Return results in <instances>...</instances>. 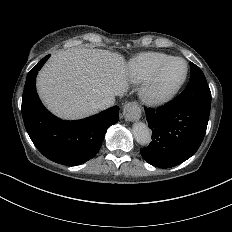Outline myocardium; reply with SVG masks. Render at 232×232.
Returning a JSON list of instances; mask_svg holds the SVG:
<instances>
[{
    "instance_id": "myocardium-1",
    "label": "myocardium",
    "mask_w": 232,
    "mask_h": 232,
    "mask_svg": "<svg viewBox=\"0 0 232 232\" xmlns=\"http://www.w3.org/2000/svg\"><path fill=\"white\" fill-rule=\"evenodd\" d=\"M176 61H183L186 65V71L182 79L177 82L174 86L169 89L162 91L161 93L154 95L152 94V88L160 75L174 62ZM189 74V64L188 62L180 57H172L164 64L156 68L149 76L139 85L138 88V99L139 101L145 105L146 107L150 108H159L167 103H169L174 96L178 93L181 87L184 85L188 78Z\"/></svg>"
}]
</instances>
